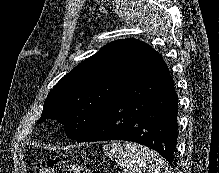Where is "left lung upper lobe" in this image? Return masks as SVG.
<instances>
[{"label":"left lung upper lobe","instance_id":"1","mask_svg":"<svg viewBox=\"0 0 219 173\" xmlns=\"http://www.w3.org/2000/svg\"><path fill=\"white\" fill-rule=\"evenodd\" d=\"M154 52L148 44L132 38L108 43L53 87L37 123L56 119L64 125L67 137L77 140L137 81Z\"/></svg>","mask_w":219,"mask_h":173}]
</instances>
